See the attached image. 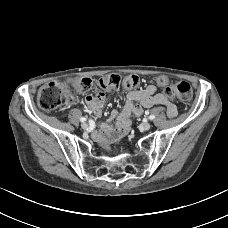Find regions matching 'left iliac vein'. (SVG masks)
<instances>
[{"label":"left iliac vein","instance_id":"left-iliac-vein-1","mask_svg":"<svg viewBox=\"0 0 228 228\" xmlns=\"http://www.w3.org/2000/svg\"><path fill=\"white\" fill-rule=\"evenodd\" d=\"M151 128V124L149 122H144L140 125V129L143 131H147Z\"/></svg>","mask_w":228,"mask_h":228}]
</instances>
